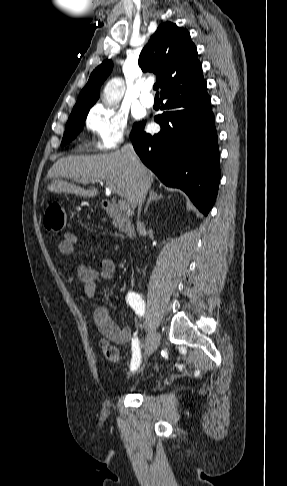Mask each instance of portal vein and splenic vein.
<instances>
[{
  "instance_id": "1",
  "label": "portal vein and splenic vein",
  "mask_w": 287,
  "mask_h": 486,
  "mask_svg": "<svg viewBox=\"0 0 287 486\" xmlns=\"http://www.w3.org/2000/svg\"><path fill=\"white\" fill-rule=\"evenodd\" d=\"M107 185L109 187V190H108L109 193H111V192L117 193L116 188L111 183H107ZM118 205H119V208L122 209V210H127L129 208V204L125 199L118 200Z\"/></svg>"
}]
</instances>
